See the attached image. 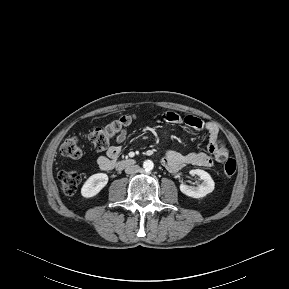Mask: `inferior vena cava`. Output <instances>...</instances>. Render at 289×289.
Wrapping results in <instances>:
<instances>
[{"label": "inferior vena cava", "instance_id": "1", "mask_svg": "<svg viewBox=\"0 0 289 289\" xmlns=\"http://www.w3.org/2000/svg\"><path fill=\"white\" fill-rule=\"evenodd\" d=\"M141 171L140 166L138 165H131L125 169L126 174H136Z\"/></svg>", "mask_w": 289, "mask_h": 289}]
</instances>
